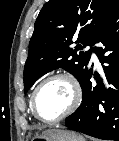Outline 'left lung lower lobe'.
I'll return each instance as SVG.
<instances>
[{
    "label": "left lung lower lobe",
    "instance_id": "obj_1",
    "mask_svg": "<svg viewBox=\"0 0 119 141\" xmlns=\"http://www.w3.org/2000/svg\"><path fill=\"white\" fill-rule=\"evenodd\" d=\"M93 50L103 63L104 79L92 86V69L81 83L80 107L65 120V126L92 137L119 141V8L98 32ZM95 77V75H94Z\"/></svg>",
    "mask_w": 119,
    "mask_h": 141
}]
</instances>
